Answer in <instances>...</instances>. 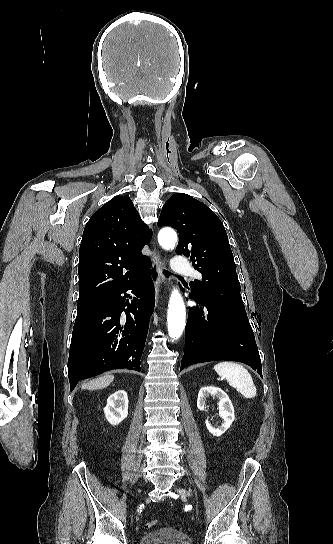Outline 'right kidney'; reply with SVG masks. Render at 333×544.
Returning <instances> with one entry per match:
<instances>
[{"instance_id": "ca27d5eb", "label": "right kidney", "mask_w": 333, "mask_h": 544, "mask_svg": "<svg viewBox=\"0 0 333 544\" xmlns=\"http://www.w3.org/2000/svg\"><path fill=\"white\" fill-rule=\"evenodd\" d=\"M104 414L111 425H118L128 416V396L124 390H118L107 399Z\"/></svg>"}]
</instances>
